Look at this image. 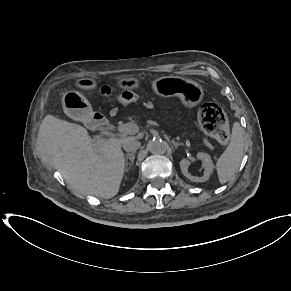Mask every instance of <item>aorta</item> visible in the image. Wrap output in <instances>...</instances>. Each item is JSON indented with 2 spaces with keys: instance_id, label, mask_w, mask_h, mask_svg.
<instances>
[{
  "instance_id": "1",
  "label": "aorta",
  "mask_w": 291,
  "mask_h": 291,
  "mask_svg": "<svg viewBox=\"0 0 291 291\" xmlns=\"http://www.w3.org/2000/svg\"><path fill=\"white\" fill-rule=\"evenodd\" d=\"M148 148L153 154H164L167 150V143L161 139H154L148 143Z\"/></svg>"
}]
</instances>
